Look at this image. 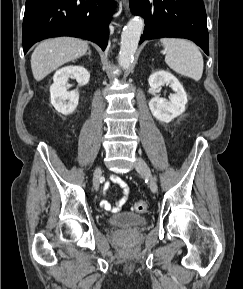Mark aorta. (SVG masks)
Masks as SVG:
<instances>
[{"label":"aorta","instance_id":"1","mask_svg":"<svg viewBox=\"0 0 243 289\" xmlns=\"http://www.w3.org/2000/svg\"><path fill=\"white\" fill-rule=\"evenodd\" d=\"M144 21L139 17L132 18L121 34V45L118 62L123 67H129L137 50Z\"/></svg>","mask_w":243,"mask_h":289}]
</instances>
